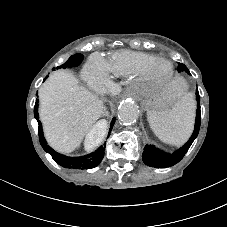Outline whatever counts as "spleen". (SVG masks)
<instances>
[{"label":"spleen","instance_id":"1","mask_svg":"<svg viewBox=\"0 0 227 227\" xmlns=\"http://www.w3.org/2000/svg\"><path fill=\"white\" fill-rule=\"evenodd\" d=\"M147 118L154 134L172 145L183 144L192 129V107L185 98L171 109L148 111Z\"/></svg>","mask_w":227,"mask_h":227}]
</instances>
